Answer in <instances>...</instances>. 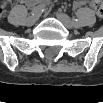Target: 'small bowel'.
Wrapping results in <instances>:
<instances>
[{"mask_svg":"<svg viewBox=\"0 0 103 103\" xmlns=\"http://www.w3.org/2000/svg\"><path fill=\"white\" fill-rule=\"evenodd\" d=\"M26 4L30 7H34L36 5L46 6L44 3H40V1H38V0H28V1H26ZM84 4H85L84 1H75L73 5H74V8H81L82 6H84ZM5 11H6V8H5ZM5 11H4V13H5Z\"/></svg>","mask_w":103,"mask_h":103,"instance_id":"small-bowel-1","label":"small bowel"}]
</instances>
